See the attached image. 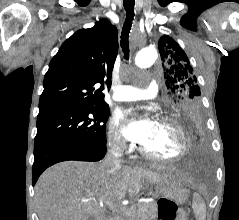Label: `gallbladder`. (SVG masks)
Instances as JSON below:
<instances>
[{"instance_id":"obj_1","label":"gallbladder","mask_w":239,"mask_h":220,"mask_svg":"<svg viewBox=\"0 0 239 220\" xmlns=\"http://www.w3.org/2000/svg\"><path fill=\"white\" fill-rule=\"evenodd\" d=\"M89 220H93V218H92V217H90V218H89Z\"/></svg>"}]
</instances>
